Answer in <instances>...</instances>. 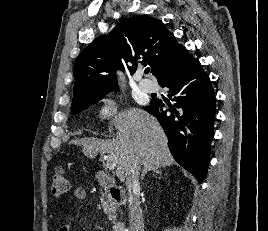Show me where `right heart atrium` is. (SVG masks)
<instances>
[{
	"label": "right heart atrium",
	"mask_w": 268,
	"mask_h": 231,
	"mask_svg": "<svg viewBox=\"0 0 268 231\" xmlns=\"http://www.w3.org/2000/svg\"><path fill=\"white\" fill-rule=\"evenodd\" d=\"M118 110V106L113 101H105L101 104L99 108V116L102 119H109L112 117Z\"/></svg>",
	"instance_id": "1"
}]
</instances>
